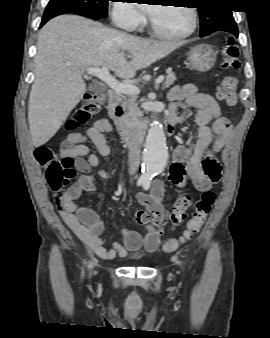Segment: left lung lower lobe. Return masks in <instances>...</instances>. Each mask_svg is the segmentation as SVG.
I'll return each mask as SVG.
<instances>
[{"label":"left lung lower lobe","instance_id":"left-lung-lower-lobe-1","mask_svg":"<svg viewBox=\"0 0 270 338\" xmlns=\"http://www.w3.org/2000/svg\"><path fill=\"white\" fill-rule=\"evenodd\" d=\"M220 30L231 32L236 37H238V29H237V25H236L235 21L225 24L224 26L221 27Z\"/></svg>","mask_w":270,"mask_h":338}]
</instances>
